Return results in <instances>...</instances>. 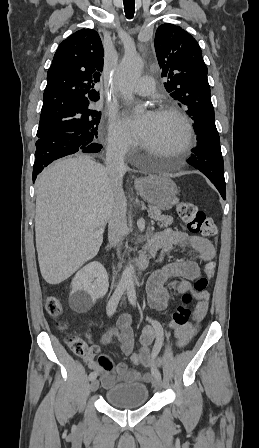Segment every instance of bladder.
Returning <instances> with one entry per match:
<instances>
[{
    "label": "bladder",
    "instance_id": "31cf9c89",
    "mask_svg": "<svg viewBox=\"0 0 259 448\" xmlns=\"http://www.w3.org/2000/svg\"><path fill=\"white\" fill-rule=\"evenodd\" d=\"M148 397V387L140 383L117 384L110 387L105 393V398L109 404L122 409L143 406Z\"/></svg>",
    "mask_w": 259,
    "mask_h": 448
}]
</instances>
